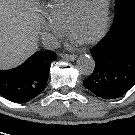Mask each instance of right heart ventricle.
Returning a JSON list of instances; mask_svg holds the SVG:
<instances>
[{
	"mask_svg": "<svg viewBox=\"0 0 135 135\" xmlns=\"http://www.w3.org/2000/svg\"><path fill=\"white\" fill-rule=\"evenodd\" d=\"M81 0H51L46 8L48 18L60 28H65Z\"/></svg>",
	"mask_w": 135,
	"mask_h": 135,
	"instance_id": "obj_1",
	"label": "right heart ventricle"
}]
</instances>
